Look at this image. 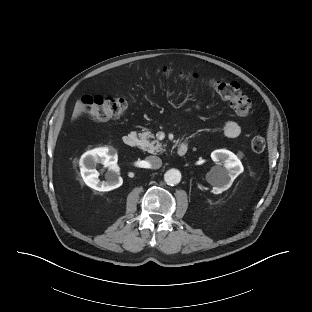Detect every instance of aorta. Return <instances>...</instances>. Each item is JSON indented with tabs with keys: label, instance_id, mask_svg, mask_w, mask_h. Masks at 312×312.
Instances as JSON below:
<instances>
[{
	"label": "aorta",
	"instance_id": "1",
	"mask_svg": "<svg viewBox=\"0 0 312 312\" xmlns=\"http://www.w3.org/2000/svg\"><path fill=\"white\" fill-rule=\"evenodd\" d=\"M164 181L171 186L177 185L181 181L180 171L177 169H169L164 174Z\"/></svg>",
	"mask_w": 312,
	"mask_h": 312
}]
</instances>
